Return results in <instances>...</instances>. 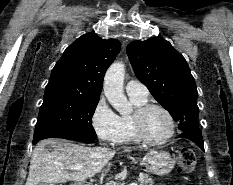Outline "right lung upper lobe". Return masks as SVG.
<instances>
[{
    "label": "right lung upper lobe",
    "instance_id": "obj_1",
    "mask_svg": "<svg viewBox=\"0 0 233 185\" xmlns=\"http://www.w3.org/2000/svg\"><path fill=\"white\" fill-rule=\"evenodd\" d=\"M116 39L103 40L87 33L66 48L54 66L47 92H64L99 97L107 68L120 51Z\"/></svg>",
    "mask_w": 233,
    "mask_h": 185
}]
</instances>
